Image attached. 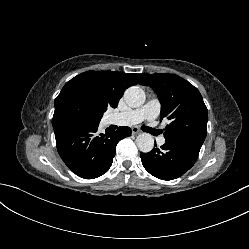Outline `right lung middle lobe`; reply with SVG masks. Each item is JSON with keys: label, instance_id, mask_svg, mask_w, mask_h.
<instances>
[{"label": "right lung middle lobe", "instance_id": "right-lung-middle-lobe-1", "mask_svg": "<svg viewBox=\"0 0 249 249\" xmlns=\"http://www.w3.org/2000/svg\"><path fill=\"white\" fill-rule=\"evenodd\" d=\"M103 113L97 109L95 101L80 91H66L55 99L53 119L66 118L79 123L99 124Z\"/></svg>", "mask_w": 249, "mask_h": 249}]
</instances>
